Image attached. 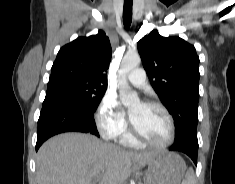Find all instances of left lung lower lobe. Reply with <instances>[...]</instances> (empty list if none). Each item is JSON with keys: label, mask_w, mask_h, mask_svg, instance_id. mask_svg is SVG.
<instances>
[{"label": "left lung lower lobe", "mask_w": 235, "mask_h": 184, "mask_svg": "<svg viewBox=\"0 0 235 184\" xmlns=\"http://www.w3.org/2000/svg\"><path fill=\"white\" fill-rule=\"evenodd\" d=\"M171 151H178L187 154L197 165L198 143L189 141H176L170 148Z\"/></svg>", "instance_id": "0a47b994"}]
</instances>
